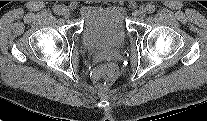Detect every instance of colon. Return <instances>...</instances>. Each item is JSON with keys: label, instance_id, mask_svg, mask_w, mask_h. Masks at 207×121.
<instances>
[{"label": "colon", "instance_id": "obj_1", "mask_svg": "<svg viewBox=\"0 0 207 121\" xmlns=\"http://www.w3.org/2000/svg\"><path fill=\"white\" fill-rule=\"evenodd\" d=\"M98 72L108 79H113L116 77L117 68L113 64H107L102 66Z\"/></svg>", "mask_w": 207, "mask_h": 121}]
</instances>
